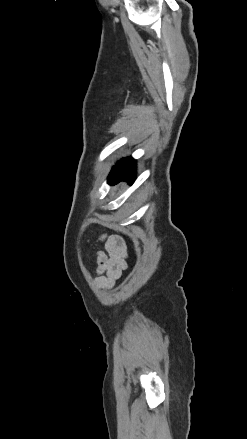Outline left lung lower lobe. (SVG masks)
<instances>
[{
	"mask_svg": "<svg viewBox=\"0 0 247 439\" xmlns=\"http://www.w3.org/2000/svg\"><path fill=\"white\" fill-rule=\"evenodd\" d=\"M135 169H136V163L135 160L130 157L128 158V162L125 166L124 169L122 170H112L110 175H109V181L112 184H115L121 180H128L131 183H133L134 181V176H135Z\"/></svg>",
	"mask_w": 247,
	"mask_h": 439,
	"instance_id": "0a47b994",
	"label": "left lung lower lobe"
}]
</instances>
